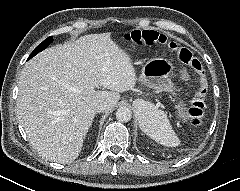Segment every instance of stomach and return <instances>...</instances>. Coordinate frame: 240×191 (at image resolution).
Here are the masks:
<instances>
[{
	"instance_id": "stomach-1",
	"label": "stomach",
	"mask_w": 240,
	"mask_h": 191,
	"mask_svg": "<svg viewBox=\"0 0 240 191\" xmlns=\"http://www.w3.org/2000/svg\"><path fill=\"white\" fill-rule=\"evenodd\" d=\"M173 64L164 58H153L148 60L141 69V73L138 77V81L145 86L156 89L159 91L171 92L174 88V84L171 80V73L173 71ZM181 102L177 106V115L183 120L187 121L188 115L182 108ZM145 110H138L137 115L139 123Z\"/></svg>"
}]
</instances>
